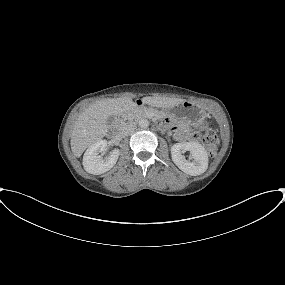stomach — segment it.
Masks as SVG:
<instances>
[{"label": "stomach", "mask_w": 285, "mask_h": 285, "mask_svg": "<svg viewBox=\"0 0 285 285\" xmlns=\"http://www.w3.org/2000/svg\"><path fill=\"white\" fill-rule=\"evenodd\" d=\"M168 114L172 118L183 120L190 124L199 123L206 117L205 109L200 104L187 100L179 105L169 108Z\"/></svg>", "instance_id": "stomach-1"}]
</instances>
